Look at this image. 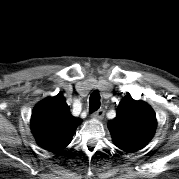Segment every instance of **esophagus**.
<instances>
[{
  "label": "esophagus",
  "mask_w": 179,
  "mask_h": 179,
  "mask_svg": "<svg viewBox=\"0 0 179 179\" xmlns=\"http://www.w3.org/2000/svg\"><path fill=\"white\" fill-rule=\"evenodd\" d=\"M103 116H104V109H99L98 111H95L92 114V117L95 118V119H102Z\"/></svg>",
  "instance_id": "esophagus-1"
}]
</instances>
